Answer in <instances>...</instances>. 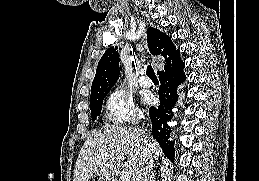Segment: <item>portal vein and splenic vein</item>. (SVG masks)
<instances>
[{"instance_id": "18ae733b", "label": "portal vein and splenic vein", "mask_w": 259, "mask_h": 181, "mask_svg": "<svg viewBox=\"0 0 259 181\" xmlns=\"http://www.w3.org/2000/svg\"><path fill=\"white\" fill-rule=\"evenodd\" d=\"M129 178H130V174L127 170H123L121 173H120V180L121 181H129Z\"/></svg>"}]
</instances>
